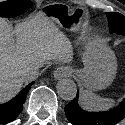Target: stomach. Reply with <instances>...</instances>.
Wrapping results in <instances>:
<instances>
[{"instance_id":"obj_1","label":"stomach","mask_w":125,"mask_h":125,"mask_svg":"<svg viewBox=\"0 0 125 125\" xmlns=\"http://www.w3.org/2000/svg\"><path fill=\"white\" fill-rule=\"evenodd\" d=\"M48 5L43 14L57 26L71 32L83 33L86 28L87 14L84 9L61 8ZM85 67L78 72L82 87L91 91L102 90L114 80L117 72V61L114 52L101 39L89 41L83 53Z\"/></svg>"}]
</instances>
